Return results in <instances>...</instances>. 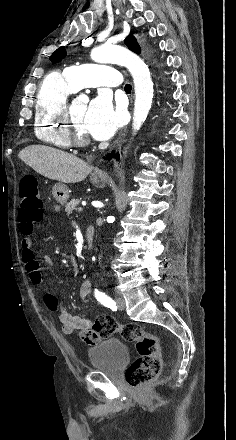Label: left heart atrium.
<instances>
[{
    "mask_svg": "<svg viewBox=\"0 0 236 440\" xmlns=\"http://www.w3.org/2000/svg\"><path fill=\"white\" fill-rule=\"evenodd\" d=\"M84 123L90 136L97 140H107L114 135L120 124L119 111L107 95L100 94L88 105Z\"/></svg>",
    "mask_w": 236,
    "mask_h": 440,
    "instance_id": "left-heart-atrium-1",
    "label": "left heart atrium"
}]
</instances>
